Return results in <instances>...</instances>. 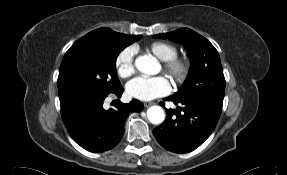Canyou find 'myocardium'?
I'll return each instance as SVG.
<instances>
[{
  "label": "myocardium",
  "instance_id": "f54148a6",
  "mask_svg": "<svg viewBox=\"0 0 287 175\" xmlns=\"http://www.w3.org/2000/svg\"><path fill=\"white\" fill-rule=\"evenodd\" d=\"M162 68L175 83H183L189 75L190 62L176 56L163 61Z\"/></svg>",
  "mask_w": 287,
  "mask_h": 175
}]
</instances>
